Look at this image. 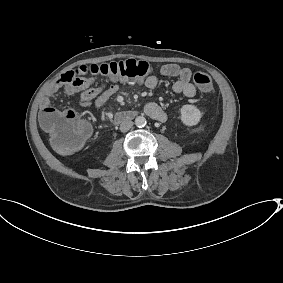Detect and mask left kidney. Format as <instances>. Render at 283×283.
<instances>
[{
    "label": "left kidney",
    "instance_id": "left-kidney-1",
    "mask_svg": "<svg viewBox=\"0 0 283 283\" xmlns=\"http://www.w3.org/2000/svg\"><path fill=\"white\" fill-rule=\"evenodd\" d=\"M203 114L195 106L191 104H185L180 108V121L187 127H193L198 125L202 120Z\"/></svg>",
    "mask_w": 283,
    "mask_h": 283
}]
</instances>
